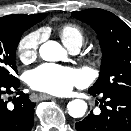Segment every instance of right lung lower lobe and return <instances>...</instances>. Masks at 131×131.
<instances>
[{"mask_svg":"<svg viewBox=\"0 0 131 131\" xmlns=\"http://www.w3.org/2000/svg\"><path fill=\"white\" fill-rule=\"evenodd\" d=\"M20 81L15 78L10 81L0 82V131H31L34 124V107L28 94L19 92L13 98L14 106H8L3 98L12 90L19 91Z\"/></svg>","mask_w":131,"mask_h":131,"instance_id":"obj_1","label":"right lung lower lobe"}]
</instances>
